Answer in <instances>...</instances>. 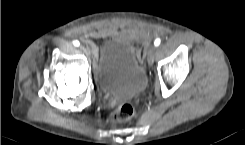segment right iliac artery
Returning <instances> with one entry per match:
<instances>
[{"mask_svg":"<svg viewBox=\"0 0 245 145\" xmlns=\"http://www.w3.org/2000/svg\"><path fill=\"white\" fill-rule=\"evenodd\" d=\"M74 45L78 47L80 45L79 41H77V40L74 41Z\"/></svg>","mask_w":245,"mask_h":145,"instance_id":"right-iliac-artery-1","label":"right iliac artery"}]
</instances>
